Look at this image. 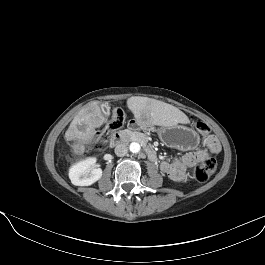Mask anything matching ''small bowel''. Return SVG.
<instances>
[{"mask_svg":"<svg viewBox=\"0 0 265 265\" xmlns=\"http://www.w3.org/2000/svg\"><path fill=\"white\" fill-rule=\"evenodd\" d=\"M204 142L206 150L187 152L171 162L163 161L160 165L161 172L175 182L183 181L188 171L201 162L208 153L216 154L220 152V143L214 136L209 135L207 139H204Z\"/></svg>","mask_w":265,"mask_h":265,"instance_id":"obj_1","label":"small bowel"}]
</instances>
